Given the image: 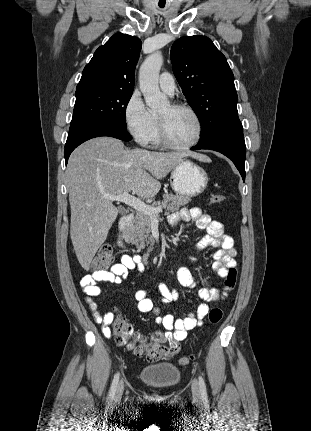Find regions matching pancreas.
I'll return each mask as SVG.
<instances>
[{"instance_id":"1","label":"pancreas","mask_w":311,"mask_h":431,"mask_svg":"<svg viewBox=\"0 0 311 431\" xmlns=\"http://www.w3.org/2000/svg\"><path fill=\"white\" fill-rule=\"evenodd\" d=\"M191 202V198H186V196H173V194H164L162 202H153L151 208H166L168 214L170 212H178L182 206H186ZM151 217L144 214V212H136L133 223H129L126 229H124V239L127 243H132L136 245L138 249H144L146 245L148 251L154 249L153 245L155 243L154 237L151 235Z\"/></svg>"}]
</instances>
